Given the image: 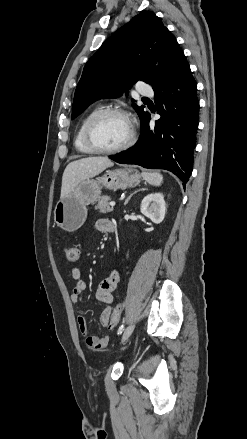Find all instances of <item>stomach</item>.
Returning <instances> with one entry per match:
<instances>
[{
    "label": "stomach",
    "instance_id": "obj_1",
    "mask_svg": "<svg viewBox=\"0 0 247 439\" xmlns=\"http://www.w3.org/2000/svg\"><path fill=\"white\" fill-rule=\"evenodd\" d=\"M141 181L132 167L107 170L101 177L81 181L54 209V222L67 232L78 230L86 220L87 205L100 199L103 187L110 190L137 186Z\"/></svg>",
    "mask_w": 247,
    "mask_h": 439
}]
</instances>
